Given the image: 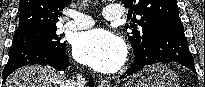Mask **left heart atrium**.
I'll list each match as a JSON object with an SVG mask.
<instances>
[{
  "label": "left heart atrium",
  "instance_id": "1",
  "mask_svg": "<svg viewBox=\"0 0 205 87\" xmlns=\"http://www.w3.org/2000/svg\"><path fill=\"white\" fill-rule=\"evenodd\" d=\"M73 54L80 63L100 72L111 73L124 63L126 47L118 36L97 28L76 37Z\"/></svg>",
  "mask_w": 205,
  "mask_h": 87
}]
</instances>
